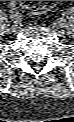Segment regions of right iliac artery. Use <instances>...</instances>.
I'll return each instance as SVG.
<instances>
[{"label":"right iliac artery","instance_id":"82829eb1","mask_svg":"<svg viewBox=\"0 0 74 122\" xmlns=\"http://www.w3.org/2000/svg\"><path fill=\"white\" fill-rule=\"evenodd\" d=\"M13 16H15V15H14V12H12V17H13ZM14 23H16V22H14Z\"/></svg>","mask_w":74,"mask_h":122}]
</instances>
